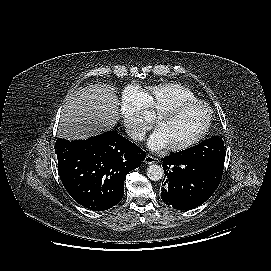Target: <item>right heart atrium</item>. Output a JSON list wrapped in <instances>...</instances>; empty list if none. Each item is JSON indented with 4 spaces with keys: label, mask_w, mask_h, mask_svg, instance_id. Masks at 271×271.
Listing matches in <instances>:
<instances>
[{
    "label": "right heart atrium",
    "mask_w": 271,
    "mask_h": 271,
    "mask_svg": "<svg viewBox=\"0 0 271 271\" xmlns=\"http://www.w3.org/2000/svg\"><path fill=\"white\" fill-rule=\"evenodd\" d=\"M144 93L137 87H128L123 95L121 116L128 135L135 141H142L151 127L144 116Z\"/></svg>",
    "instance_id": "1"
}]
</instances>
